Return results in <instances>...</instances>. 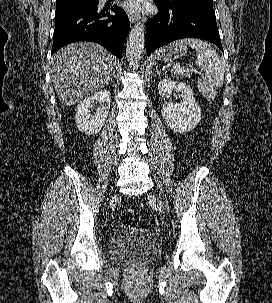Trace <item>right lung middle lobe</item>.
I'll return each mask as SVG.
<instances>
[{
  "label": "right lung middle lobe",
  "instance_id": "dd1d6c3e",
  "mask_svg": "<svg viewBox=\"0 0 272 303\" xmlns=\"http://www.w3.org/2000/svg\"><path fill=\"white\" fill-rule=\"evenodd\" d=\"M99 0H76L57 4L55 16L67 14L72 11L82 10L96 6Z\"/></svg>",
  "mask_w": 272,
  "mask_h": 303
}]
</instances>
